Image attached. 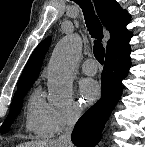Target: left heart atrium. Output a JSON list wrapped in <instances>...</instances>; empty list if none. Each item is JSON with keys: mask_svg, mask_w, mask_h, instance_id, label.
Listing matches in <instances>:
<instances>
[{"mask_svg": "<svg viewBox=\"0 0 145 147\" xmlns=\"http://www.w3.org/2000/svg\"><path fill=\"white\" fill-rule=\"evenodd\" d=\"M80 93L87 103L95 101L100 95V87L93 79H84L80 83Z\"/></svg>", "mask_w": 145, "mask_h": 147, "instance_id": "left-heart-atrium-1", "label": "left heart atrium"}]
</instances>
